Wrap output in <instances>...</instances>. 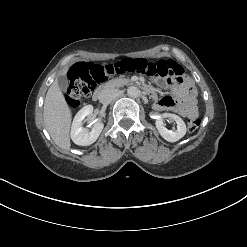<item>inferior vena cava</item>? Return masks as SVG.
Masks as SVG:
<instances>
[{"label":"inferior vena cava","mask_w":247,"mask_h":247,"mask_svg":"<svg viewBox=\"0 0 247 247\" xmlns=\"http://www.w3.org/2000/svg\"><path fill=\"white\" fill-rule=\"evenodd\" d=\"M117 94H118V89H113V88L105 89L101 92L99 99L101 101L106 102L114 98Z\"/></svg>","instance_id":"obj_1"}]
</instances>
